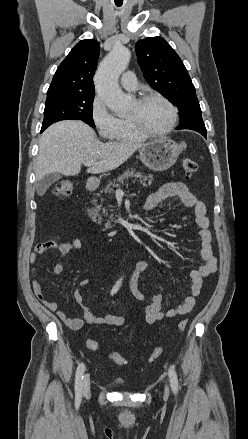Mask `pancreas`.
I'll use <instances>...</instances> for the list:
<instances>
[{"instance_id":"1","label":"pancreas","mask_w":248,"mask_h":439,"mask_svg":"<svg viewBox=\"0 0 248 439\" xmlns=\"http://www.w3.org/2000/svg\"><path fill=\"white\" fill-rule=\"evenodd\" d=\"M131 177L135 179H140V182L143 184V186H147L146 181H148V185H151L153 179L152 175H149L147 177L145 175H142L140 172L135 171L134 169H128L122 175H119V177L115 179L113 182H109L106 185L104 192L112 193L114 187H118L120 184H123L124 181H126ZM105 228H112V224L110 221H107V223L105 224Z\"/></svg>"}]
</instances>
